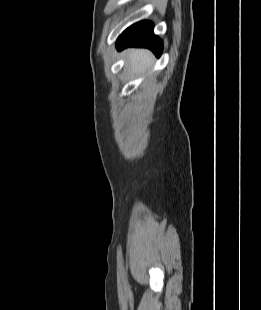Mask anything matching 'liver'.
<instances>
[{
    "label": "liver",
    "instance_id": "6515ba94",
    "mask_svg": "<svg viewBox=\"0 0 261 310\" xmlns=\"http://www.w3.org/2000/svg\"><path fill=\"white\" fill-rule=\"evenodd\" d=\"M127 53V64L132 74L139 75L147 70L153 63L151 52L145 49H129Z\"/></svg>",
    "mask_w": 261,
    "mask_h": 310
}]
</instances>
